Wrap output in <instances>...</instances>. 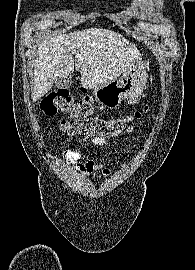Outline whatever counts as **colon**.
<instances>
[{
	"instance_id": "colon-1",
	"label": "colon",
	"mask_w": 195,
	"mask_h": 270,
	"mask_svg": "<svg viewBox=\"0 0 195 270\" xmlns=\"http://www.w3.org/2000/svg\"><path fill=\"white\" fill-rule=\"evenodd\" d=\"M94 99L91 95H84L79 101H75L67 89H58L50 92L41 102V111L49 116L59 111L69 114L70 120H62L58 128L67 135H91L96 137H108L120 133L126 125L139 118L146 110L144 107L123 117L103 119L92 117L94 112Z\"/></svg>"
}]
</instances>
